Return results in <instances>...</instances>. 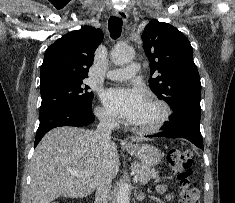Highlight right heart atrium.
I'll return each instance as SVG.
<instances>
[{
  "mask_svg": "<svg viewBox=\"0 0 235 203\" xmlns=\"http://www.w3.org/2000/svg\"><path fill=\"white\" fill-rule=\"evenodd\" d=\"M96 115L99 120L107 126H115L117 123L116 117L101 107L96 108Z\"/></svg>",
  "mask_w": 235,
  "mask_h": 203,
  "instance_id": "right-heart-atrium-1",
  "label": "right heart atrium"
}]
</instances>
